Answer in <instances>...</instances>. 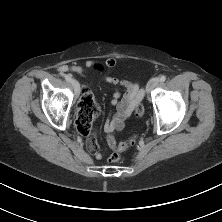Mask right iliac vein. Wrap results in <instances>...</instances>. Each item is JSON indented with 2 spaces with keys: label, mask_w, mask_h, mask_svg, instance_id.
<instances>
[{
  "label": "right iliac vein",
  "mask_w": 222,
  "mask_h": 222,
  "mask_svg": "<svg viewBox=\"0 0 222 222\" xmlns=\"http://www.w3.org/2000/svg\"><path fill=\"white\" fill-rule=\"evenodd\" d=\"M71 83L74 88L76 96H78L80 94V84L78 83L77 80H72Z\"/></svg>",
  "instance_id": "obj_1"
}]
</instances>
